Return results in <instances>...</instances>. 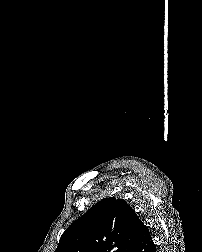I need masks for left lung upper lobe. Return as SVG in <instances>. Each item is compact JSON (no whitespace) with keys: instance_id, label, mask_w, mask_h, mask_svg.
I'll list each match as a JSON object with an SVG mask.
<instances>
[{"instance_id":"left-lung-upper-lobe-1","label":"left lung upper lobe","mask_w":202,"mask_h":252,"mask_svg":"<svg viewBox=\"0 0 202 252\" xmlns=\"http://www.w3.org/2000/svg\"><path fill=\"white\" fill-rule=\"evenodd\" d=\"M141 222L124 200L104 198L65 230L55 252H133Z\"/></svg>"}]
</instances>
